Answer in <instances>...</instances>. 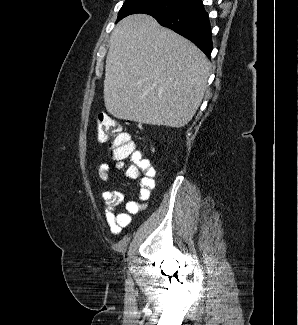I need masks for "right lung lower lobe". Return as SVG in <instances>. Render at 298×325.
<instances>
[{"label": "right lung lower lobe", "instance_id": "right-lung-lower-lobe-1", "mask_svg": "<svg viewBox=\"0 0 298 325\" xmlns=\"http://www.w3.org/2000/svg\"><path fill=\"white\" fill-rule=\"evenodd\" d=\"M160 25L186 37L208 57L213 49L208 13L202 0H194L176 11L153 16Z\"/></svg>", "mask_w": 298, "mask_h": 325}]
</instances>
